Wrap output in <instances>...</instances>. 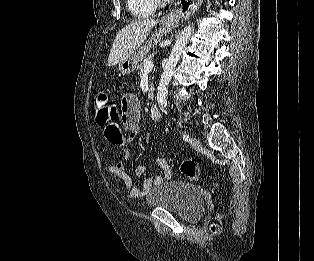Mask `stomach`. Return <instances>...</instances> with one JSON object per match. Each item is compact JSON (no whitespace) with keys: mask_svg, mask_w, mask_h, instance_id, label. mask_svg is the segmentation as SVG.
Returning a JSON list of instances; mask_svg holds the SVG:
<instances>
[{"mask_svg":"<svg viewBox=\"0 0 314 261\" xmlns=\"http://www.w3.org/2000/svg\"><path fill=\"white\" fill-rule=\"evenodd\" d=\"M162 34H163V30H161L159 34H155L152 37L150 43L156 42L162 36ZM141 48L136 50L127 59H125L124 61L119 63L118 69L123 75L130 74V73L134 72V70L136 69V66L138 65V63L140 62V60L142 59V57L144 55V52L141 50Z\"/></svg>","mask_w":314,"mask_h":261,"instance_id":"stomach-1","label":"stomach"}]
</instances>
